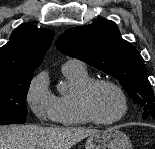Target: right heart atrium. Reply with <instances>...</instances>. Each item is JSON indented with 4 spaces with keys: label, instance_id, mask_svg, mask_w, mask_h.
<instances>
[{
    "label": "right heart atrium",
    "instance_id": "1",
    "mask_svg": "<svg viewBox=\"0 0 155 149\" xmlns=\"http://www.w3.org/2000/svg\"><path fill=\"white\" fill-rule=\"evenodd\" d=\"M26 102L40 121H55L56 96L49 89L46 72L39 73L31 80Z\"/></svg>",
    "mask_w": 155,
    "mask_h": 149
}]
</instances>
